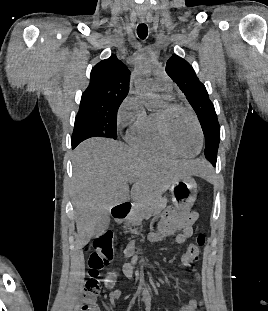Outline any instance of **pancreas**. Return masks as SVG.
<instances>
[{
  "mask_svg": "<svg viewBox=\"0 0 268 311\" xmlns=\"http://www.w3.org/2000/svg\"><path fill=\"white\" fill-rule=\"evenodd\" d=\"M166 205L167 199L161 196L138 201L135 204L132 215L125 221V225L127 227L139 226L142 224L143 219L150 217L152 214H157L163 210Z\"/></svg>",
  "mask_w": 268,
  "mask_h": 311,
  "instance_id": "1",
  "label": "pancreas"
}]
</instances>
